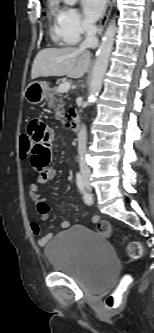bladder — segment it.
I'll use <instances>...</instances> for the list:
<instances>
[{
	"label": "bladder",
	"mask_w": 154,
	"mask_h": 333,
	"mask_svg": "<svg viewBox=\"0 0 154 333\" xmlns=\"http://www.w3.org/2000/svg\"><path fill=\"white\" fill-rule=\"evenodd\" d=\"M43 254L53 270L97 287L107 286L117 267L111 244L86 225L58 232L46 244Z\"/></svg>",
	"instance_id": "1"
}]
</instances>
